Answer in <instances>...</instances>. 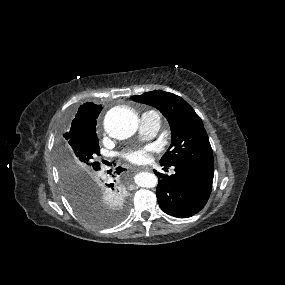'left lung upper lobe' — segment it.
Listing matches in <instances>:
<instances>
[{
	"label": "left lung upper lobe",
	"instance_id": "obj_1",
	"mask_svg": "<svg viewBox=\"0 0 285 285\" xmlns=\"http://www.w3.org/2000/svg\"><path fill=\"white\" fill-rule=\"evenodd\" d=\"M131 99L156 107L170 124L171 145L160 160L162 166L214 165L203 122L184 99L165 91H151Z\"/></svg>",
	"mask_w": 285,
	"mask_h": 285
}]
</instances>
